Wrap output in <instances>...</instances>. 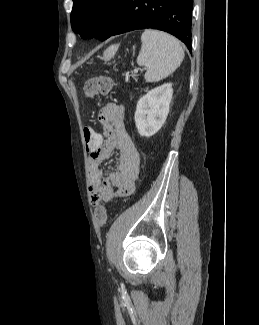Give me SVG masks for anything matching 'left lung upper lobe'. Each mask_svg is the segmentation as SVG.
<instances>
[{"label":"left lung upper lobe","instance_id":"left-lung-upper-lobe-1","mask_svg":"<svg viewBox=\"0 0 259 325\" xmlns=\"http://www.w3.org/2000/svg\"><path fill=\"white\" fill-rule=\"evenodd\" d=\"M125 0H73L71 26L83 39H107Z\"/></svg>","mask_w":259,"mask_h":325}]
</instances>
